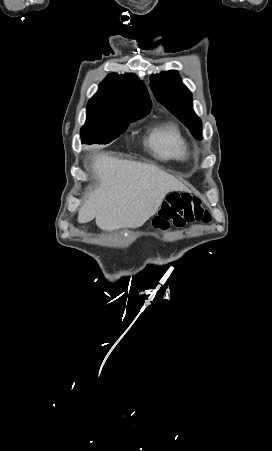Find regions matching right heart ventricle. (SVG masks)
Masks as SVG:
<instances>
[{"mask_svg":"<svg viewBox=\"0 0 272 451\" xmlns=\"http://www.w3.org/2000/svg\"><path fill=\"white\" fill-rule=\"evenodd\" d=\"M150 145L160 157L165 159L183 160L186 156L183 140L173 126L154 131Z\"/></svg>","mask_w":272,"mask_h":451,"instance_id":"obj_1","label":"right heart ventricle"}]
</instances>
